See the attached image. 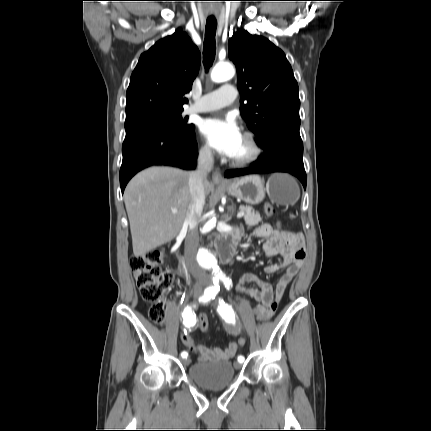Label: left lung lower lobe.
Wrapping results in <instances>:
<instances>
[{"label":"left lung lower lobe","mask_w":431,"mask_h":431,"mask_svg":"<svg viewBox=\"0 0 431 431\" xmlns=\"http://www.w3.org/2000/svg\"><path fill=\"white\" fill-rule=\"evenodd\" d=\"M265 154L246 169L229 170L225 177L231 178L247 174L287 172L296 176L306 189V172L303 164V143L288 136H279L262 147Z\"/></svg>","instance_id":"left-lung-lower-lobe-1"}]
</instances>
